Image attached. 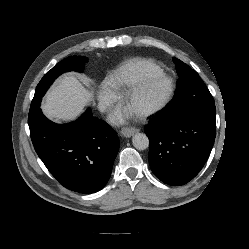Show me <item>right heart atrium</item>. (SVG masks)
Instances as JSON below:
<instances>
[{"label": "right heart atrium", "mask_w": 249, "mask_h": 249, "mask_svg": "<svg viewBox=\"0 0 249 249\" xmlns=\"http://www.w3.org/2000/svg\"><path fill=\"white\" fill-rule=\"evenodd\" d=\"M118 97V92L110 81H105L99 93V103L102 107H109Z\"/></svg>", "instance_id": "d8ad5b80"}]
</instances>
